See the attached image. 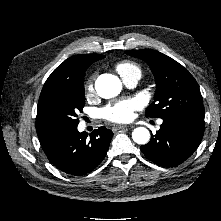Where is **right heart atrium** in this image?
Listing matches in <instances>:
<instances>
[{
	"label": "right heart atrium",
	"instance_id": "right-heart-atrium-1",
	"mask_svg": "<svg viewBox=\"0 0 221 221\" xmlns=\"http://www.w3.org/2000/svg\"><path fill=\"white\" fill-rule=\"evenodd\" d=\"M95 89H94V78L91 77L88 79V81L85 84V94L87 97H90L94 94Z\"/></svg>",
	"mask_w": 221,
	"mask_h": 221
}]
</instances>
